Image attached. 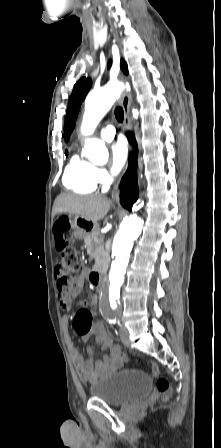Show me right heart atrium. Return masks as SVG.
<instances>
[{
  "label": "right heart atrium",
  "instance_id": "1",
  "mask_svg": "<svg viewBox=\"0 0 221 448\" xmlns=\"http://www.w3.org/2000/svg\"><path fill=\"white\" fill-rule=\"evenodd\" d=\"M95 177L98 184L107 185L110 181V176L106 169L98 167L95 169Z\"/></svg>",
  "mask_w": 221,
  "mask_h": 448
}]
</instances>
